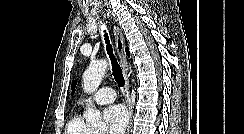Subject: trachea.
I'll use <instances>...</instances> for the list:
<instances>
[{
	"label": "trachea",
	"instance_id": "obj_1",
	"mask_svg": "<svg viewBox=\"0 0 244 134\" xmlns=\"http://www.w3.org/2000/svg\"><path fill=\"white\" fill-rule=\"evenodd\" d=\"M104 38H105V42H106V50H107V54L109 55V58L111 60V65H112V74L114 76L115 81L117 82V84L121 87L124 86L125 84V80L122 74V70L120 65L118 64L114 54H113V49L112 46L110 44V40L108 37V34L106 33V31L104 30Z\"/></svg>",
	"mask_w": 244,
	"mask_h": 134
}]
</instances>
